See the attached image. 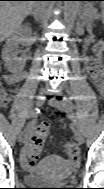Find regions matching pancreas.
Instances as JSON below:
<instances>
[{
    "label": "pancreas",
    "instance_id": "cf45deb5",
    "mask_svg": "<svg viewBox=\"0 0 104 189\" xmlns=\"http://www.w3.org/2000/svg\"><path fill=\"white\" fill-rule=\"evenodd\" d=\"M88 14H91V16H94L95 18L98 17V15L95 14L93 11H92V12H89Z\"/></svg>",
    "mask_w": 104,
    "mask_h": 189
}]
</instances>
